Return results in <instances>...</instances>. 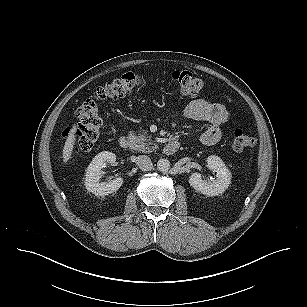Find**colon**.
<instances>
[{"label": "colon", "mask_w": 307, "mask_h": 307, "mask_svg": "<svg viewBox=\"0 0 307 307\" xmlns=\"http://www.w3.org/2000/svg\"><path fill=\"white\" fill-rule=\"evenodd\" d=\"M171 79L183 96L195 97L201 94L205 88L204 81L189 71L175 70L171 74ZM144 80L143 76L134 73L123 74L98 87L93 98L81 104L76 113L79 125L73 131L76 139L75 152L90 151L100 138L103 121L96 101L115 100L128 96ZM256 144L257 138L254 135H247L240 129L233 132L232 148L234 151L240 152L247 148H253Z\"/></svg>", "instance_id": "5ec220e1"}]
</instances>
